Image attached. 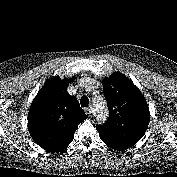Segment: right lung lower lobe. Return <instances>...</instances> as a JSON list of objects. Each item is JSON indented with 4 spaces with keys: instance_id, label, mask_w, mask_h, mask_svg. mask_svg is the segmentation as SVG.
Here are the masks:
<instances>
[{
    "instance_id": "1",
    "label": "right lung lower lobe",
    "mask_w": 177,
    "mask_h": 177,
    "mask_svg": "<svg viewBox=\"0 0 177 177\" xmlns=\"http://www.w3.org/2000/svg\"><path fill=\"white\" fill-rule=\"evenodd\" d=\"M42 148L45 149V150H47V151H50V152H56L55 151L56 147L53 148V146H46V147H42Z\"/></svg>"
}]
</instances>
